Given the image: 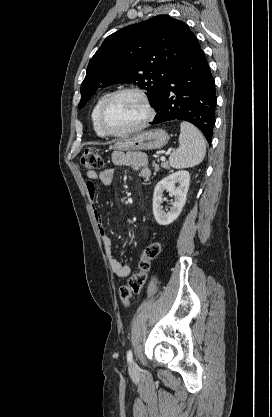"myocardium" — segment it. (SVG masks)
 Returning a JSON list of instances; mask_svg holds the SVG:
<instances>
[{
  "mask_svg": "<svg viewBox=\"0 0 272 417\" xmlns=\"http://www.w3.org/2000/svg\"><path fill=\"white\" fill-rule=\"evenodd\" d=\"M124 94H132V95L137 96L140 99V101L142 102V104L145 108L146 115H145L144 119L139 124H137L136 126L130 128L126 131H123V132L109 131L104 124L105 112H106L108 106L110 105V103L114 99H116L117 97H119L121 95H124ZM154 115H155L154 109L151 105V102H150L148 96L144 93V91H142L139 88H133V87L122 88V89H119V90H116V91L112 92L104 100V102L101 105L100 110H99L98 124H99V128H100L101 132L104 134V136L116 137V138L127 137V136H130V135H132L134 133H137V132L141 131L142 129H144L153 120Z\"/></svg>",
  "mask_w": 272,
  "mask_h": 417,
  "instance_id": "obj_1",
  "label": "myocardium"
}]
</instances>
